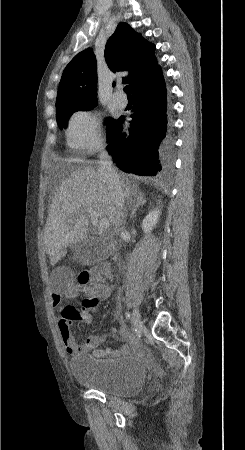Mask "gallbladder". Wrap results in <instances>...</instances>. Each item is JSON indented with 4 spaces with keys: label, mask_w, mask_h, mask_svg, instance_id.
Returning <instances> with one entry per match:
<instances>
[{
    "label": "gallbladder",
    "mask_w": 245,
    "mask_h": 450,
    "mask_svg": "<svg viewBox=\"0 0 245 450\" xmlns=\"http://www.w3.org/2000/svg\"><path fill=\"white\" fill-rule=\"evenodd\" d=\"M108 255L106 245L89 240L78 246L74 258L84 264L103 260Z\"/></svg>",
    "instance_id": "gallbladder-1"
}]
</instances>
